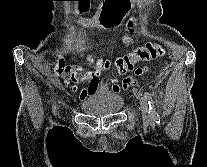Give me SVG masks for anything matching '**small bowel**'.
Listing matches in <instances>:
<instances>
[{
  "mask_svg": "<svg viewBox=\"0 0 207 167\" xmlns=\"http://www.w3.org/2000/svg\"><path fill=\"white\" fill-rule=\"evenodd\" d=\"M132 0H105L103 7L101 10H98V14H101V20H99V24H103L105 26H111L114 24H122L123 17L126 16L127 11L131 8ZM75 5H78V9H80V14H89L90 5H92V1H75ZM134 25V21H130L128 26L132 29ZM124 43H129L130 38H124ZM80 79L78 73L73 74V80L78 81ZM133 80L126 78L122 81V84H118L116 80H112L111 91L113 94H118L122 89H126L130 85H133ZM99 81L96 78L91 79V85L82 90L80 93V98L84 99L88 95H92L99 89ZM75 89V87H73Z\"/></svg>",
  "mask_w": 207,
  "mask_h": 167,
  "instance_id": "c3829d8e",
  "label": "small bowel"
}]
</instances>
